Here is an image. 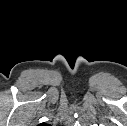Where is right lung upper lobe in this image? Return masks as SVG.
Wrapping results in <instances>:
<instances>
[{
  "label": "right lung upper lobe",
  "mask_w": 127,
  "mask_h": 126,
  "mask_svg": "<svg viewBox=\"0 0 127 126\" xmlns=\"http://www.w3.org/2000/svg\"><path fill=\"white\" fill-rule=\"evenodd\" d=\"M38 126H48V125H46L45 123H41Z\"/></svg>",
  "instance_id": "obj_1"
}]
</instances>
